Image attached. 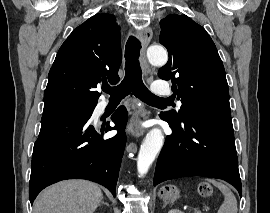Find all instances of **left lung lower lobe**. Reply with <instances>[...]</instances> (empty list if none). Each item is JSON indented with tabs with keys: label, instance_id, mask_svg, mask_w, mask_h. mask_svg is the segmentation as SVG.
<instances>
[{
	"label": "left lung lower lobe",
	"instance_id": "left-lung-lower-lobe-1",
	"mask_svg": "<svg viewBox=\"0 0 270 213\" xmlns=\"http://www.w3.org/2000/svg\"><path fill=\"white\" fill-rule=\"evenodd\" d=\"M173 134L159 155L153 185L188 176H205L229 182L241 195L232 119L222 115H193L176 122L166 114Z\"/></svg>",
	"mask_w": 270,
	"mask_h": 213
}]
</instances>
